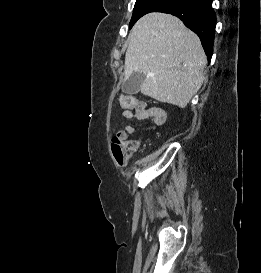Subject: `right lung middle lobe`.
Listing matches in <instances>:
<instances>
[{
	"instance_id": "obj_1",
	"label": "right lung middle lobe",
	"mask_w": 261,
	"mask_h": 273,
	"mask_svg": "<svg viewBox=\"0 0 261 273\" xmlns=\"http://www.w3.org/2000/svg\"><path fill=\"white\" fill-rule=\"evenodd\" d=\"M167 0H137L134 6L133 15L130 20L129 28L143 15L150 12H159L165 8Z\"/></svg>"
}]
</instances>
